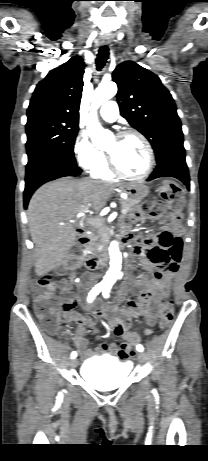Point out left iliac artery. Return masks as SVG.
<instances>
[{"instance_id": "44dca946", "label": "left iliac artery", "mask_w": 208, "mask_h": 461, "mask_svg": "<svg viewBox=\"0 0 208 461\" xmlns=\"http://www.w3.org/2000/svg\"><path fill=\"white\" fill-rule=\"evenodd\" d=\"M109 291H110V287H104L103 288V296L104 298H108L109 297ZM137 350L139 352H142L144 350L143 346L142 345H137Z\"/></svg>"}]
</instances>
